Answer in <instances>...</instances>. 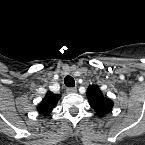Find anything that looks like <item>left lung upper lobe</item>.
Here are the masks:
<instances>
[{
  "mask_svg": "<svg viewBox=\"0 0 145 145\" xmlns=\"http://www.w3.org/2000/svg\"><path fill=\"white\" fill-rule=\"evenodd\" d=\"M87 97L90 106L100 116H104L112 110L113 101L103 96L101 90L97 85H91L87 90Z\"/></svg>",
  "mask_w": 145,
  "mask_h": 145,
  "instance_id": "left-lung-upper-lobe-1",
  "label": "left lung upper lobe"
}]
</instances>
